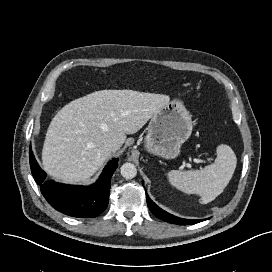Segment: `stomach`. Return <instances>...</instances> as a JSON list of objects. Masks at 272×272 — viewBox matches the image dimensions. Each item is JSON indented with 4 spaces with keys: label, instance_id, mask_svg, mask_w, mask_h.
<instances>
[{
    "label": "stomach",
    "instance_id": "obj_1",
    "mask_svg": "<svg viewBox=\"0 0 272 272\" xmlns=\"http://www.w3.org/2000/svg\"><path fill=\"white\" fill-rule=\"evenodd\" d=\"M193 121L183 103L173 100L158 109L151 117L145 138V149L165 159L180 154L182 144L190 137Z\"/></svg>",
    "mask_w": 272,
    "mask_h": 272
}]
</instances>
